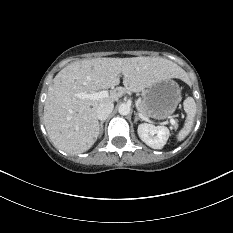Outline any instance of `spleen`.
Listing matches in <instances>:
<instances>
[{"instance_id": "1", "label": "spleen", "mask_w": 233, "mask_h": 233, "mask_svg": "<svg viewBox=\"0 0 233 233\" xmlns=\"http://www.w3.org/2000/svg\"><path fill=\"white\" fill-rule=\"evenodd\" d=\"M184 110L187 113L186 123L183 128L177 134V140H184L188 134L191 132L194 122V117L196 114V103L192 97H187L183 103Z\"/></svg>"}]
</instances>
